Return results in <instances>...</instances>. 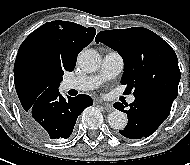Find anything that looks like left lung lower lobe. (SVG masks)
Segmentation results:
<instances>
[{
	"label": "left lung lower lobe",
	"mask_w": 190,
	"mask_h": 165,
	"mask_svg": "<svg viewBox=\"0 0 190 165\" xmlns=\"http://www.w3.org/2000/svg\"><path fill=\"white\" fill-rule=\"evenodd\" d=\"M174 99L163 95H143L135 97L129 105V110H124L125 104L116 102L113 106L127 113L128 123L120 134L130 139H140L153 134L161 123L168 117Z\"/></svg>",
	"instance_id": "left-lung-lower-lobe-1"
}]
</instances>
